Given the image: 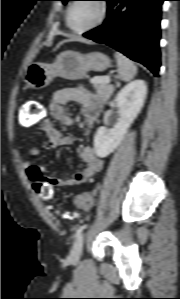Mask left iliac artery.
<instances>
[{
    "instance_id": "44dca946",
    "label": "left iliac artery",
    "mask_w": 180,
    "mask_h": 299,
    "mask_svg": "<svg viewBox=\"0 0 180 299\" xmlns=\"http://www.w3.org/2000/svg\"><path fill=\"white\" fill-rule=\"evenodd\" d=\"M87 227V224H83L81 225L77 230H76V233H75V238H77L81 232Z\"/></svg>"
}]
</instances>
